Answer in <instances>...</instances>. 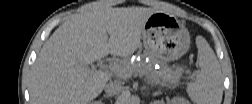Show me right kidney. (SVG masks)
Here are the masks:
<instances>
[{
	"mask_svg": "<svg viewBox=\"0 0 252 104\" xmlns=\"http://www.w3.org/2000/svg\"><path fill=\"white\" fill-rule=\"evenodd\" d=\"M96 104H101L102 102L100 101V102H95Z\"/></svg>",
	"mask_w": 252,
	"mask_h": 104,
	"instance_id": "obj_1",
	"label": "right kidney"
}]
</instances>
